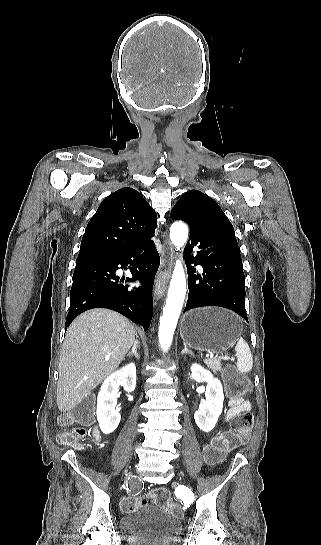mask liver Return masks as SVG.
Returning a JSON list of instances; mask_svg holds the SVG:
<instances>
[{
	"label": "liver",
	"mask_w": 321,
	"mask_h": 545,
	"mask_svg": "<svg viewBox=\"0 0 321 545\" xmlns=\"http://www.w3.org/2000/svg\"><path fill=\"white\" fill-rule=\"evenodd\" d=\"M134 341L132 323L119 313L92 309L79 315L67 329L60 353L59 411H72L88 397L119 367Z\"/></svg>",
	"instance_id": "1"
}]
</instances>
